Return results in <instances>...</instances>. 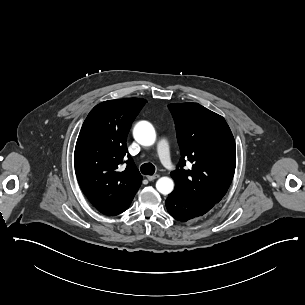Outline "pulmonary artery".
Here are the masks:
<instances>
[{
  "label": "pulmonary artery",
  "instance_id": "pulmonary-artery-1",
  "mask_svg": "<svg viewBox=\"0 0 305 305\" xmlns=\"http://www.w3.org/2000/svg\"><path fill=\"white\" fill-rule=\"evenodd\" d=\"M168 146L169 142L167 140L160 139L155 146V150L161 159V165L167 167L169 172H174L176 170V165L171 163V159L169 158L170 148Z\"/></svg>",
  "mask_w": 305,
  "mask_h": 305
}]
</instances>
